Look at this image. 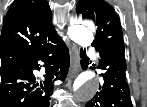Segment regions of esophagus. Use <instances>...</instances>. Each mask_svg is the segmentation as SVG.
<instances>
[{"label": "esophagus", "mask_w": 147, "mask_h": 107, "mask_svg": "<svg viewBox=\"0 0 147 107\" xmlns=\"http://www.w3.org/2000/svg\"><path fill=\"white\" fill-rule=\"evenodd\" d=\"M80 70V56L79 51L76 45L72 44L71 46V62L69 76L72 77L76 75Z\"/></svg>", "instance_id": "esophagus-1"}]
</instances>
